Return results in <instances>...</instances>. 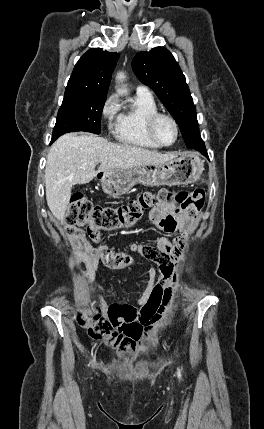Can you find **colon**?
I'll return each mask as SVG.
<instances>
[{
    "label": "colon",
    "instance_id": "5ec220e1",
    "mask_svg": "<svg viewBox=\"0 0 264 429\" xmlns=\"http://www.w3.org/2000/svg\"><path fill=\"white\" fill-rule=\"evenodd\" d=\"M173 200L180 210L190 217H195L204 205L205 192L201 188L191 191L161 189L157 193H143L117 207L101 205L89 200L83 194H74L65 221L67 227L73 232L86 227L90 236H96L100 231L131 227L150 207ZM107 315V319L100 318L97 314L88 318L78 315L77 319L81 325L88 327L90 336L94 340L116 346L122 339V331L129 328L135 315L132 308L126 305H111Z\"/></svg>",
    "mask_w": 264,
    "mask_h": 429
}]
</instances>
